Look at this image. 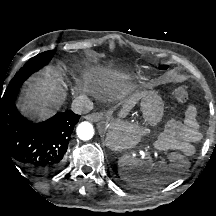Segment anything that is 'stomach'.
I'll return each instance as SVG.
<instances>
[{"instance_id": "obj_1", "label": "stomach", "mask_w": 216, "mask_h": 216, "mask_svg": "<svg viewBox=\"0 0 216 216\" xmlns=\"http://www.w3.org/2000/svg\"><path fill=\"white\" fill-rule=\"evenodd\" d=\"M141 110L146 125L155 127L163 117V101L154 91H144L141 95ZM147 127L130 125L122 121H111L106 126V145L117 151L135 147L141 137L148 133Z\"/></svg>"}]
</instances>
